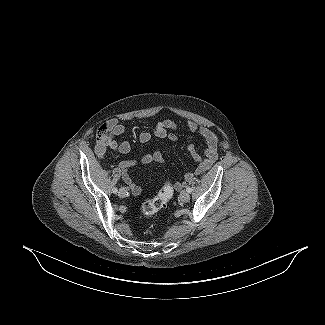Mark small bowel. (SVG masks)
<instances>
[{
    "label": "small bowel",
    "mask_w": 325,
    "mask_h": 325,
    "mask_svg": "<svg viewBox=\"0 0 325 325\" xmlns=\"http://www.w3.org/2000/svg\"><path fill=\"white\" fill-rule=\"evenodd\" d=\"M179 128L175 122L170 119L159 121L151 131H143L139 135V140L142 143L150 141L152 138L167 139L171 142L177 140L175 131ZM185 131L187 133L198 132L205 141V156L202 157L194 145H189L187 150L192 159L196 163V168L193 172H188L185 175V180H189L194 174H200L207 171L217 159V143L216 135L208 128L199 126L195 121L189 120L186 124ZM126 133L125 126L117 119L109 120L105 125V135L95 145V153L98 157L104 158L108 150L118 151L121 154L130 152L131 145L124 140L118 142L116 137L123 136ZM164 160L163 151L157 149L152 153L142 157V163L149 165L152 163H161ZM135 164L132 159L123 160L119 163L120 174L123 181L129 186L134 195H139L141 188L128 174V169ZM185 183H175L176 189H181Z\"/></svg>",
    "instance_id": "obj_1"
}]
</instances>
